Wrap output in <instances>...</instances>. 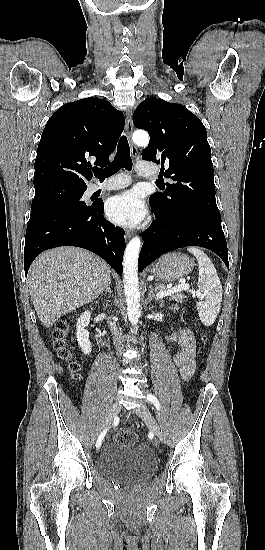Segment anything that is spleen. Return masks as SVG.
<instances>
[{
	"label": "spleen",
	"instance_id": "spleen-1",
	"mask_svg": "<svg viewBox=\"0 0 265 550\" xmlns=\"http://www.w3.org/2000/svg\"><path fill=\"white\" fill-rule=\"evenodd\" d=\"M187 250L197 258L199 265L198 288L203 294V300L197 303L198 314L201 322L210 326L215 322L221 308V281L212 261L201 249L189 247Z\"/></svg>",
	"mask_w": 265,
	"mask_h": 550
}]
</instances>
